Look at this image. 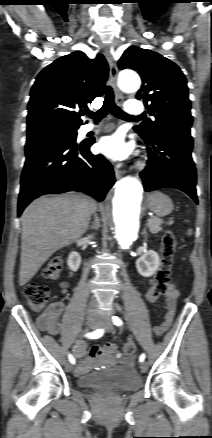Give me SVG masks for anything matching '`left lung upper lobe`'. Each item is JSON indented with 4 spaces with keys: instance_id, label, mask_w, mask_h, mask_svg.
I'll return each instance as SVG.
<instances>
[{
    "instance_id": "obj_1",
    "label": "left lung upper lobe",
    "mask_w": 212,
    "mask_h": 438,
    "mask_svg": "<svg viewBox=\"0 0 212 438\" xmlns=\"http://www.w3.org/2000/svg\"><path fill=\"white\" fill-rule=\"evenodd\" d=\"M119 69L136 70L143 85L137 99L151 102L147 106L155 120H145L137 126L142 136L150 138L160 130H190L192 116L187 81L180 68L151 50L130 46L118 61Z\"/></svg>"
}]
</instances>
